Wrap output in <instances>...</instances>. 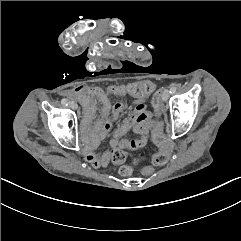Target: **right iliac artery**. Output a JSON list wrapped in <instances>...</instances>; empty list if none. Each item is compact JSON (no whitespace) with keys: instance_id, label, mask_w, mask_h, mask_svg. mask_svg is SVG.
I'll return each instance as SVG.
<instances>
[{"instance_id":"right-iliac-artery-1","label":"right iliac artery","mask_w":241,"mask_h":241,"mask_svg":"<svg viewBox=\"0 0 241 241\" xmlns=\"http://www.w3.org/2000/svg\"><path fill=\"white\" fill-rule=\"evenodd\" d=\"M61 103L67 105L68 102H67V100L63 99V100L61 101Z\"/></svg>"}]
</instances>
